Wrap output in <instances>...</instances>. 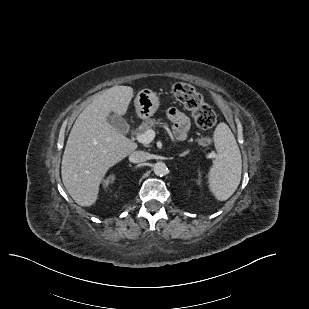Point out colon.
Returning <instances> with one entry per match:
<instances>
[{"label": "colon", "mask_w": 309, "mask_h": 309, "mask_svg": "<svg viewBox=\"0 0 309 309\" xmlns=\"http://www.w3.org/2000/svg\"><path fill=\"white\" fill-rule=\"evenodd\" d=\"M174 97L191 112L195 123L202 129H211L216 124V114L214 110L203 99L202 95L187 83H176L172 87ZM208 137L199 139L201 146L210 145Z\"/></svg>", "instance_id": "5ec220e1"}]
</instances>
